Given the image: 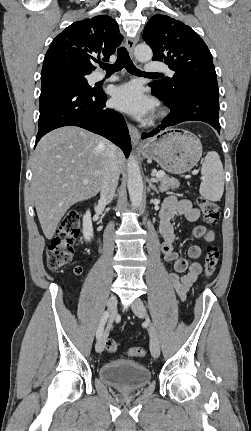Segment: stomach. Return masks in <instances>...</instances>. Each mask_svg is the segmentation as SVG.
<instances>
[{
	"instance_id": "stomach-1",
	"label": "stomach",
	"mask_w": 251,
	"mask_h": 431,
	"mask_svg": "<svg viewBox=\"0 0 251 431\" xmlns=\"http://www.w3.org/2000/svg\"><path fill=\"white\" fill-rule=\"evenodd\" d=\"M142 155L155 160L172 174L190 171L202 155L200 140L182 129H167L151 138L142 148Z\"/></svg>"
}]
</instances>
